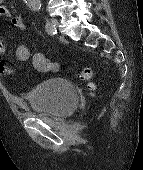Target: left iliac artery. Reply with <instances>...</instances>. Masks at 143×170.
Here are the masks:
<instances>
[{"label": "left iliac artery", "mask_w": 143, "mask_h": 170, "mask_svg": "<svg viewBox=\"0 0 143 170\" xmlns=\"http://www.w3.org/2000/svg\"><path fill=\"white\" fill-rule=\"evenodd\" d=\"M46 31L50 34H53V35L57 33L55 25H52L50 23L46 24Z\"/></svg>", "instance_id": "1"}]
</instances>
